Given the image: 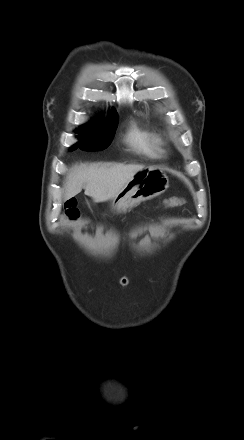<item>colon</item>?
I'll return each mask as SVG.
<instances>
[{
	"mask_svg": "<svg viewBox=\"0 0 244 440\" xmlns=\"http://www.w3.org/2000/svg\"><path fill=\"white\" fill-rule=\"evenodd\" d=\"M182 203V199L179 197H171L164 201V207L171 208L179 206ZM63 214L66 218L74 220L78 218L79 211L77 209L75 201H67L64 204Z\"/></svg>",
	"mask_w": 244,
	"mask_h": 440,
	"instance_id": "5ec220e1",
	"label": "colon"
}]
</instances>
